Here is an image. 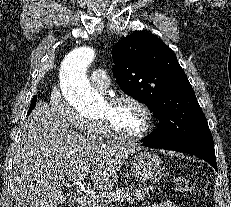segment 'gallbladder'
<instances>
[{"instance_id":"obj_1","label":"gallbladder","mask_w":231,"mask_h":207,"mask_svg":"<svg viewBox=\"0 0 231 207\" xmlns=\"http://www.w3.org/2000/svg\"><path fill=\"white\" fill-rule=\"evenodd\" d=\"M76 201H77V198H76L75 196H73V195H71V194H67V195H65V197H64V200H63V202H62V205H63V206H71V205L75 204Z\"/></svg>"}]
</instances>
